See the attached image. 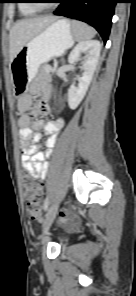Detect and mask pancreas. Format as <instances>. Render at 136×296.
<instances>
[{"mask_svg":"<svg viewBox=\"0 0 136 296\" xmlns=\"http://www.w3.org/2000/svg\"><path fill=\"white\" fill-rule=\"evenodd\" d=\"M49 68H51L49 65H44L40 70V74L46 78H50Z\"/></svg>","mask_w":136,"mask_h":296,"instance_id":"obj_1","label":"pancreas"}]
</instances>
